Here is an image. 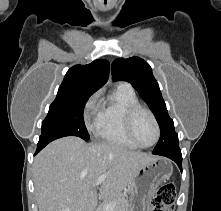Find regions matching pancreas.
<instances>
[{
	"label": "pancreas",
	"instance_id": "1",
	"mask_svg": "<svg viewBox=\"0 0 221 211\" xmlns=\"http://www.w3.org/2000/svg\"><path fill=\"white\" fill-rule=\"evenodd\" d=\"M108 203H113V211H129V203L125 193L117 192L106 197L96 211H105L104 206Z\"/></svg>",
	"mask_w": 221,
	"mask_h": 211
}]
</instances>
